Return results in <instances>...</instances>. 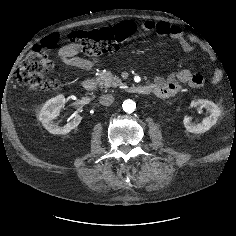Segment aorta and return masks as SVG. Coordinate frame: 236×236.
I'll return each instance as SVG.
<instances>
[{"label":"aorta","mask_w":236,"mask_h":236,"mask_svg":"<svg viewBox=\"0 0 236 236\" xmlns=\"http://www.w3.org/2000/svg\"><path fill=\"white\" fill-rule=\"evenodd\" d=\"M122 107L126 113H132L136 109V103L133 100L127 99L123 102Z\"/></svg>","instance_id":"1"}]
</instances>
